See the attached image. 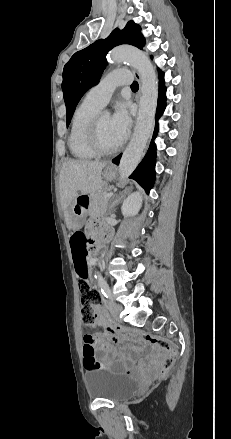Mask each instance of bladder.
Returning <instances> with one entry per match:
<instances>
[{
  "label": "bladder",
  "instance_id": "obj_1",
  "mask_svg": "<svg viewBox=\"0 0 231 439\" xmlns=\"http://www.w3.org/2000/svg\"><path fill=\"white\" fill-rule=\"evenodd\" d=\"M91 398L122 401L136 394L140 381L112 368H89L84 375Z\"/></svg>",
  "mask_w": 231,
  "mask_h": 439
}]
</instances>
